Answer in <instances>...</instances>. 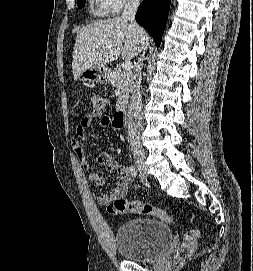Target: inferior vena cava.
I'll use <instances>...</instances> for the list:
<instances>
[{
    "label": "inferior vena cava",
    "mask_w": 253,
    "mask_h": 271,
    "mask_svg": "<svg viewBox=\"0 0 253 271\" xmlns=\"http://www.w3.org/2000/svg\"><path fill=\"white\" fill-rule=\"evenodd\" d=\"M139 4L140 0H127L121 18L124 21H130L137 28L138 33L142 35L141 30L135 22V14ZM143 54L138 58L136 63L135 81L131 90L132 95L128 106V136L131 151L133 153L142 152L140 140L142 97L140 87L142 80Z\"/></svg>",
    "instance_id": "obj_1"
}]
</instances>
